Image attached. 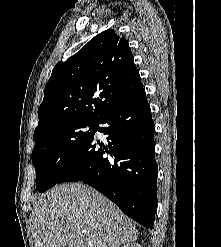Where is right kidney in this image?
Masks as SVG:
<instances>
[{
  "mask_svg": "<svg viewBox=\"0 0 221 247\" xmlns=\"http://www.w3.org/2000/svg\"><path fill=\"white\" fill-rule=\"evenodd\" d=\"M123 247H142L140 244L132 242L131 244H126Z\"/></svg>",
  "mask_w": 221,
  "mask_h": 247,
  "instance_id": "1",
  "label": "right kidney"
}]
</instances>
